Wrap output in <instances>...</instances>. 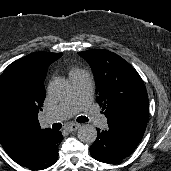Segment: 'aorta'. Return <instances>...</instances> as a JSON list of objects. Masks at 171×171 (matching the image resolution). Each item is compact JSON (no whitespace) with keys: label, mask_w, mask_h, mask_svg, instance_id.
I'll return each mask as SVG.
<instances>
[{"label":"aorta","mask_w":171,"mask_h":171,"mask_svg":"<svg viewBox=\"0 0 171 171\" xmlns=\"http://www.w3.org/2000/svg\"><path fill=\"white\" fill-rule=\"evenodd\" d=\"M70 83L64 78H56L49 83L48 93L57 100L65 98L70 92ZM78 139L87 144H92L97 138V130L94 126L82 125L77 132Z\"/></svg>","instance_id":"obj_1"}]
</instances>
